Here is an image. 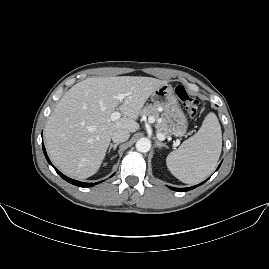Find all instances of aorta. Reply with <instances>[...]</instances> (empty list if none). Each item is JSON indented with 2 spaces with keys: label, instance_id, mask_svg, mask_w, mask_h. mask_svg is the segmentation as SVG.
Wrapping results in <instances>:
<instances>
[{
  "label": "aorta",
  "instance_id": "obj_1",
  "mask_svg": "<svg viewBox=\"0 0 269 269\" xmlns=\"http://www.w3.org/2000/svg\"><path fill=\"white\" fill-rule=\"evenodd\" d=\"M151 148V141L147 138H141L136 143V149L139 152H148Z\"/></svg>",
  "mask_w": 269,
  "mask_h": 269
}]
</instances>
